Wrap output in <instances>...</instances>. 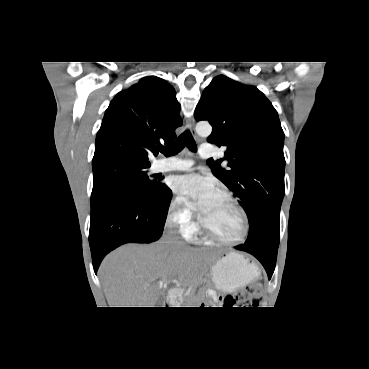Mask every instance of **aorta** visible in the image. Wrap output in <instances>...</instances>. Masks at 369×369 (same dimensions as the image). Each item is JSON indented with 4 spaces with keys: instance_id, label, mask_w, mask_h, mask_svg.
<instances>
[{
    "instance_id": "obj_1",
    "label": "aorta",
    "mask_w": 369,
    "mask_h": 369,
    "mask_svg": "<svg viewBox=\"0 0 369 369\" xmlns=\"http://www.w3.org/2000/svg\"><path fill=\"white\" fill-rule=\"evenodd\" d=\"M196 132L199 136L206 137L212 132V127L208 122H199L196 125Z\"/></svg>"
}]
</instances>
